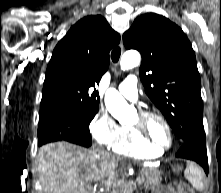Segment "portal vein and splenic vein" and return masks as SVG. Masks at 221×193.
<instances>
[{"label": "portal vein and splenic vein", "mask_w": 221, "mask_h": 193, "mask_svg": "<svg viewBox=\"0 0 221 193\" xmlns=\"http://www.w3.org/2000/svg\"><path fill=\"white\" fill-rule=\"evenodd\" d=\"M143 180H144V178L139 176V177L136 178L134 183L132 182V184L133 185H135L136 183L141 184L143 182Z\"/></svg>", "instance_id": "portal-vein-and-splenic-vein-1"}]
</instances>
